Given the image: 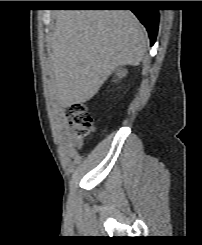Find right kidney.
<instances>
[{"label":"right kidney","mask_w":202,"mask_h":245,"mask_svg":"<svg viewBox=\"0 0 202 245\" xmlns=\"http://www.w3.org/2000/svg\"><path fill=\"white\" fill-rule=\"evenodd\" d=\"M127 74V71L126 70H118L116 75L119 77V78H122V77H125Z\"/></svg>","instance_id":"1"}]
</instances>
